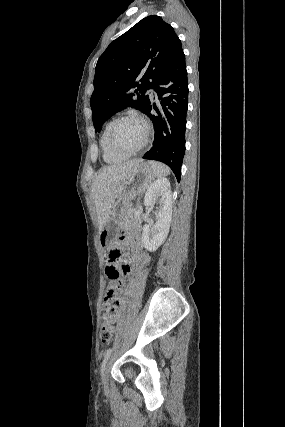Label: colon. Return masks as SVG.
Here are the masks:
<instances>
[{"label": "colon", "mask_w": 285, "mask_h": 427, "mask_svg": "<svg viewBox=\"0 0 285 427\" xmlns=\"http://www.w3.org/2000/svg\"><path fill=\"white\" fill-rule=\"evenodd\" d=\"M120 260L121 252L118 249H114L108 252L107 261L109 265L106 267L105 272L108 285L110 287L121 286V273L120 270L116 267V264L120 262ZM125 268L126 267L123 266V269ZM107 293L108 294L102 303L103 325L100 331V339L103 343H107L111 340L114 333L113 322L117 316V301L110 296L109 291H107Z\"/></svg>", "instance_id": "5ec220e1"}]
</instances>
